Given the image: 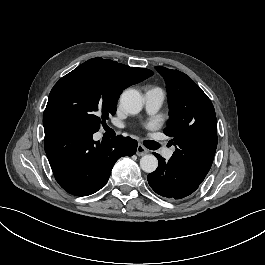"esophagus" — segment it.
Listing matches in <instances>:
<instances>
[{"mask_svg": "<svg viewBox=\"0 0 265 265\" xmlns=\"http://www.w3.org/2000/svg\"><path fill=\"white\" fill-rule=\"evenodd\" d=\"M147 153H148V150L142 144H139L138 147H137L136 154L138 156H143V155H145Z\"/></svg>", "mask_w": 265, "mask_h": 265, "instance_id": "obj_1", "label": "esophagus"}]
</instances>
